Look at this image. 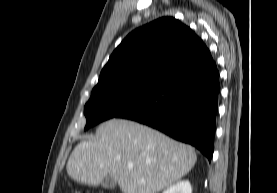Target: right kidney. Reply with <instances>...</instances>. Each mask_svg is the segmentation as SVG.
Wrapping results in <instances>:
<instances>
[{
	"label": "right kidney",
	"instance_id": "obj_1",
	"mask_svg": "<svg viewBox=\"0 0 277 193\" xmlns=\"http://www.w3.org/2000/svg\"><path fill=\"white\" fill-rule=\"evenodd\" d=\"M162 193H192V188L188 180H183L167 188Z\"/></svg>",
	"mask_w": 277,
	"mask_h": 193
}]
</instances>
